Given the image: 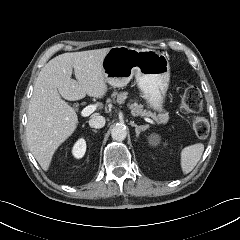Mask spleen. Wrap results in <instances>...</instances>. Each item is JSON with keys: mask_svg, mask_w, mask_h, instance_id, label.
Instances as JSON below:
<instances>
[{"mask_svg": "<svg viewBox=\"0 0 240 240\" xmlns=\"http://www.w3.org/2000/svg\"><path fill=\"white\" fill-rule=\"evenodd\" d=\"M204 151L202 143L187 146L181 151V169L184 174L190 173L199 162Z\"/></svg>", "mask_w": 240, "mask_h": 240, "instance_id": "spleen-1", "label": "spleen"}]
</instances>
